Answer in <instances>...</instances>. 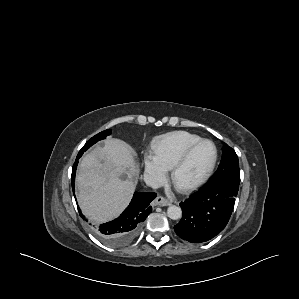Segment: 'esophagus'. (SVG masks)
Masks as SVG:
<instances>
[{
  "label": "esophagus",
  "mask_w": 299,
  "mask_h": 299,
  "mask_svg": "<svg viewBox=\"0 0 299 299\" xmlns=\"http://www.w3.org/2000/svg\"><path fill=\"white\" fill-rule=\"evenodd\" d=\"M170 204V201L162 196H157L154 200V205L156 206H167Z\"/></svg>",
  "instance_id": "obj_1"
}]
</instances>
